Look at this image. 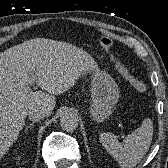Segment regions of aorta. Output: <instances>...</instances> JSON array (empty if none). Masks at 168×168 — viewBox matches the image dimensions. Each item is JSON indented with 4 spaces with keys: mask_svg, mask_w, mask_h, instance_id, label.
Masks as SVG:
<instances>
[{
    "mask_svg": "<svg viewBox=\"0 0 168 168\" xmlns=\"http://www.w3.org/2000/svg\"><path fill=\"white\" fill-rule=\"evenodd\" d=\"M78 121V116L73 112H69L61 117L60 125L66 131H73L78 126Z\"/></svg>",
    "mask_w": 168,
    "mask_h": 168,
    "instance_id": "1",
    "label": "aorta"
}]
</instances>
